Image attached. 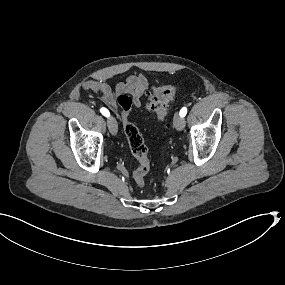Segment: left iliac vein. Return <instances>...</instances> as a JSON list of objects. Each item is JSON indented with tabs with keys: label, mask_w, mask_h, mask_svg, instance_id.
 <instances>
[{
	"label": "left iliac vein",
	"mask_w": 285,
	"mask_h": 285,
	"mask_svg": "<svg viewBox=\"0 0 285 285\" xmlns=\"http://www.w3.org/2000/svg\"><path fill=\"white\" fill-rule=\"evenodd\" d=\"M173 123L175 128L179 131L183 130L185 127V119L181 117L178 113L174 115Z\"/></svg>",
	"instance_id": "obj_1"
}]
</instances>
